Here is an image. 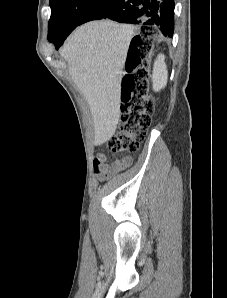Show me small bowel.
I'll return each mask as SVG.
<instances>
[{"label": "small bowel", "mask_w": 227, "mask_h": 298, "mask_svg": "<svg viewBox=\"0 0 227 298\" xmlns=\"http://www.w3.org/2000/svg\"><path fill=\"white\" fill-rule=\"evenodd\" d=\"M132 163V157L124 156L111 163L107 162V156L98 153L94 160V170L100 179H106L111 175L127 168Z\"/></svg>", "instance_id": "1"}]
</instances>
